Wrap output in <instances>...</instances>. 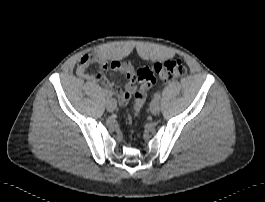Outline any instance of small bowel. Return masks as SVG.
<instances>
[{"mask_svg":"<svg viewBox=\"0 0 265 202\" xmlns=\"http://www.w3.org/2000/svg\"><path fill=\"white\" fill-rule=\"evenodd\" d=\"M91 66L99 67L103 72L90 73ZM112 70L125 77L123 87L111 81L105 75V71ZM76 74L90 82L100 83L112 96L117 97L121 104H126L136 91L135 75L132 65L128 62L109 60L102 54L88 53L81 56L76 67Z\"/></svg>","mask_w":265,"mask_h":202,"instance_id":"small-bowel-1","label":"small bowel"}]
</instances>
